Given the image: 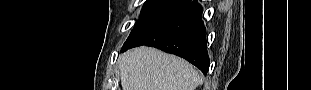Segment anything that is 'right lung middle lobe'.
Instances as JSON below:
<instances>
[{"instance_id": "right-lung-middle-lobe-1", "label": "right lung middle lobe", "mask_w": 311, "mask_h": 90, "mask_svg": "<svg viewBox=\"0 0 311 90\" xmlns=\"http://www.w3.org/2000/svg\"><path fill=\"white\" fill-rule=\"evenodd\" d=\"M190 3V0H147L139 21L124 44L133 43L169 22Z\"/></svg>"}]
</instances>
